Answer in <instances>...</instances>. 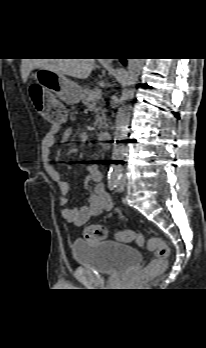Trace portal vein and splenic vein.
I'll use <instances>...</instances> for the list:
<instances>
[{"instance_id":"1","label":"portal vein and splenic vein","mask_w":206,"mask_h":348,"mask_svg":"<svg viewBox=\"0 0 206 348\" xmlns=\"http://www.w3.org/2000/svg\"><path fill=\"white\" fill-rule=\"evenodd\" d=\"M102 92L100 89H94L91 94L92 100H99L101 98Z\"/></svg>"}]
</instances>
